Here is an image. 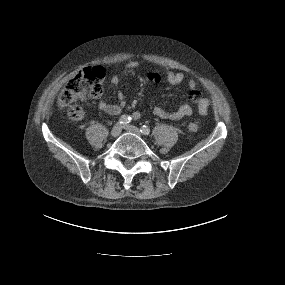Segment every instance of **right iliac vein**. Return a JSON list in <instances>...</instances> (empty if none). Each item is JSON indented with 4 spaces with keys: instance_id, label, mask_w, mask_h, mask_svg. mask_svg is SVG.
<instances>
[{
    "instance_id": "63e3f726",
    "label": "right iliac vein",
    "mask_w": 285,
    "mask_h": 285,
    "mask_svg": "<svg viewBox=\"0 0 285 285\" xmlns=\"http://www.w3.org/2000/svg\"><path fill=\"white\" fill-rule=\"evenodd\" d=\"M121 131H122V125L120 123H117L113 126L111 130V136L117 137L120 135Z\"/></svg>"
}]
</instances>
